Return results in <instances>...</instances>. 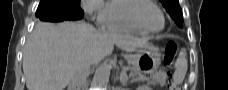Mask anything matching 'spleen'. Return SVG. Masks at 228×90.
Listing matches in <instances>:
<instances>
[{"label":"spleen","mask_w":228,"mask_h":90,"mask_svg":"<svg viewBox=\"0 0 228 90\" xmlns=\"http://www.w3.org/2000/svg\"><path fill=\"white\" fill-rule=\"evenodd\" d=\"M175 66L176 70L173 74V81L176 85H178L183 82L188 69L186 53L184 51L180 52L176 60Z\"/></svg>","instance_id":"spleen-1"}]
</instances>
